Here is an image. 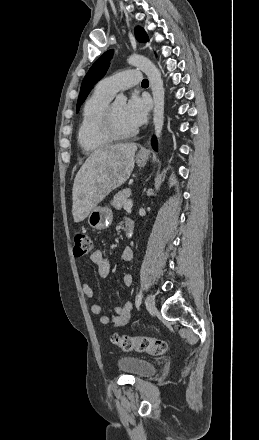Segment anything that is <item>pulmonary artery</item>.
I'll return each instance as SVG.
<instances>
[{"label": "pulmonary artery", "mask_w": 259, "mask_h": 440, "mask_svg": "<svg viewBox=\"0 0 259 440\" xmlns=\"http://www.w3.org/2000/svg\"><path fill=\"white\" fill-rule=\"evenodd\" d=\"M141 80L142 74L139 70L128 69L101 80L96 88L114 96L120 90L139 84Z\"/></svg>", "instance_id": "e3ab8cb5"}]
</instances>
